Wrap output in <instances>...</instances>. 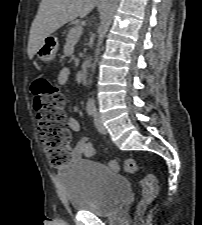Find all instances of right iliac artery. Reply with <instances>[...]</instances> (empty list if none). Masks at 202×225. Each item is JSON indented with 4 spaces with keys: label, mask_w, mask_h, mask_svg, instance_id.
I'll use <instances>...</instances> for the list:
<instances>
[{
    "label": "right iliac artery",
    "mask_w": 202,
    "mask_h": 225,
    "mask_svg": "<svg viewBox=\"0 0 202 225\" xmlns=\"http://www.w3.org/2000/svg\"><path fill=\"white\" fill-rule=\"evenodd\" d=\"M86 111L89 116H94L95 105L93 101H89L86 106Z\"/></svg>",
    "instance_id": "right-iliac-artery-1"
}]
</instances>
